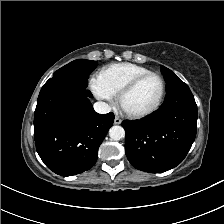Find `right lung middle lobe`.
I'll use <instances>...</instances> for the list:
<instances>
[{"label": "right lung middle lobe", "instance_id": "dd1d6c3e", "mask_svg": "<svg viewBox=\"0 0 224 224\" xmlns=\"http://www.w3.org/2000/svg\"><path fill=\"white\" fill-rule=\"evenodd\" d=\"M97 62L78 59L53 74V80L70 81L76 85L87 87L89 74L96 68Z\"/></svg>", "mask_w": 224, "mask_h": 224}]
</instances>
